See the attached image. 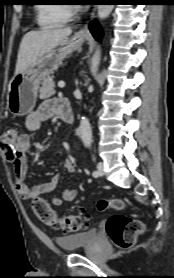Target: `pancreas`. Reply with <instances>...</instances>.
I'll use <instances>...</instances> for the list:
<instances>
[{
  "mask_svg": "<svg viewBox=\"0 0 174 278\" xmlns=\"http://www.w3.org/2000/svg\"><path fill=\"white\" fill-rule=\"evenodd\" d=\"M40 99H46L55 94V83L51 78L43 80L42 87H40Z\"/></svg>",
  "mask_w": 174,
  "mask_h": 278,
  "instance_id": "obj_1",
  "label": "pancreas"
}]
</instances>
